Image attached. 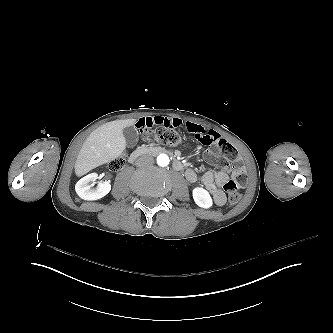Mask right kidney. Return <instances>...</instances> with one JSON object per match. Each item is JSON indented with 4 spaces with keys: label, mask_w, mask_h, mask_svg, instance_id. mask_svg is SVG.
<instances>
[{
    "label": "right kidney",
    "mask_w": 333,
    "mask_h": 333,
    "mask_svg": "<svg viewBox=\"0 0 333 333\" xmlns=\"http://www.w3.org/2000/svg\"><path fill=\"white\" fill-rule=\"evenodd\" d=\"M98 179L97 173H91L81 178L75 185V191L78 196L84 200H98L107 195L111 190L108 181L99 182L96 188L90 185V182Z\"/></svg>",
    "instance_id": "right-kidney-1"
}]
</instances>
